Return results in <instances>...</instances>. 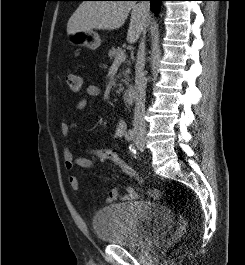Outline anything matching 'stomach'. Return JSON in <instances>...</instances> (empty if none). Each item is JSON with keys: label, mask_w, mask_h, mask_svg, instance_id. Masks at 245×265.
<instances>
[{"label": "stomach", "mask_w": 245, "mask_h": 265, "mask_svg": "<svg viewBox=\"0 0 245 265\" xmlns=\"http://www.w3.org/2000/svg\"><path fill=\"white\" fill-rule=\"evenodd\" d=\"M69 42L72 45L87 47L96 50L101 45L99 35L93 30L81 31L69 36Z\"/></svg>", "instance_id": "obj_1"}]
</instances>
